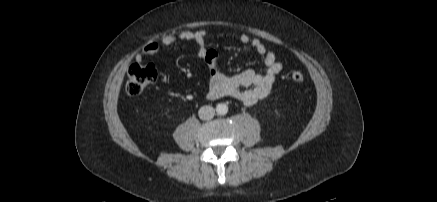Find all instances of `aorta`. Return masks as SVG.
Here are the masks:
<instances>
[{"label":"aorta","instance_id":"aorta-1","mask_svg":"<svg viewBox=\"0 0 437 202\" xmlns=\"http://www.w3.org/2000/svg\"><path fill=\"white\" fill-rule=\"evenodd\" d=\"M216 112L218 115H225L228 112V106L224 103H219L216 106Z\"/></svg>","mask_w":437,"mask_h":202}]
</instances>
